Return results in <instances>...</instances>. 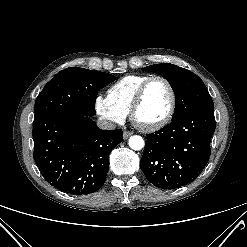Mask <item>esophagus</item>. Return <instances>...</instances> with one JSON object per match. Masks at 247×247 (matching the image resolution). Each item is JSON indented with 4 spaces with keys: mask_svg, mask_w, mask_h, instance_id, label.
Listing matches in <instances>:
<instances>
[{
    "mask_svg": "<svg viewBox=\"0 0 247 247\" xmlns=\"http://www.w3.org/2000/svg\"><path fill=\"white\" fill-rule=\"evenodd\" d=\"M133 133L130 131H124L123 132V138L128 139Z\"/></svg>",
    "mask_w": 247,
    "mask_h": 247,
    "instance_id": "esophagus-1",
    "label": "esophagus"
}]
</instances>
